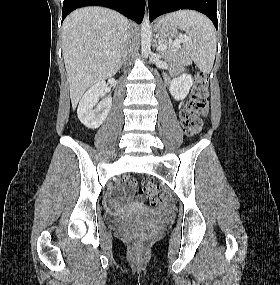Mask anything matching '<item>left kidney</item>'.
I'll use <instances>...</instances> for the list:
<instances>
[{"instance_id":"obj_1","label":"left kidney","mask_w":280,"mask_h":285,"mask_svg":"<svg viewBox=\"0 0 280 285\" xmlns=\"http://www.w3.org/2000/svg\"><path fill=\"white\" fill-rule=\"evenodd\" d=\"M193 84L191 75L182 74L177 78H173L170 83V93L175 100H183Z\"/></svg>"}]
</instances>
